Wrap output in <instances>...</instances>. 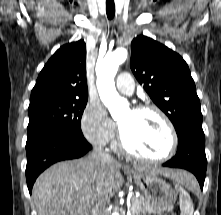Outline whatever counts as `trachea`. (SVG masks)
I'll return each instance as SVG.
<instances>
[{
	"mask_svg": "<svg viewBox=\"0 0 221 215\" xmlns=\"http://www.w3.org/2000/svg\"><path fill=\"white\" fill-rule=\"evenodd\" d=\"M107 17L111 20L115 15V4L113 0H107L106 2Z\"/></svg>",
	"mask_w": 221,
	"mask_h": 215,
	"instance_id": "3493384b",
	"label": "trachea"
}]
</instances>
